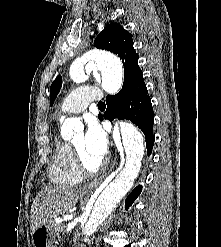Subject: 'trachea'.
Listing matches in <instances>:
<instances>
[{"mask_svg":"<svg viewBox=\"0 0 221 247\" xmlns=\"http://www.w3.org/2000/svg\"><path fill=\"white\" fill-rule=\"evenodd\" d=\"M105 107H106V105H105L104 102H102V101H99V102H98V108H99L100 110H104Z\"/></svg>","mask_w":221,"mask_h":247,"instance_id":"3493384b","label":"trachea"}]
</instances>
